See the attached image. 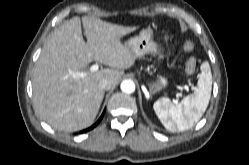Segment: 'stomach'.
Masks as SVG:
<instances>
[{"label":"stomach","instance_id":"1","mask_svg":"<svg viewBox=\"0 0 249 165\" xmlns=\"http://www.w3.org/2000/svg\"><path fill=\"white\" fill-rule=\"evenodd\" d=\"M125 44L137 57L146 53L156 54L160 58L164 57L160 46L153 40V30L149 26L143 28L139 35L130 38ZM167 85L168 80L163 76H159L154 82H148L152 94H156L158 90L165 88Z\"/></svg>","mask_w":249,"mask_h":165}]
</instances>
